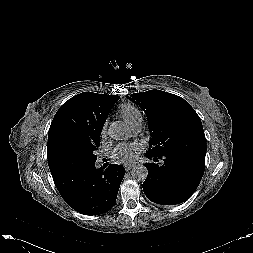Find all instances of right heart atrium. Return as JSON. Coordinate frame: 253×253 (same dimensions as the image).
Instances as JSON below:
<instances>
[{
  "instance_id": "1",
  "label": "right heart atrium",
  "mask_w": 253,
  "mask_h": 253,
  "mask_svg": "<svg viewBox=\"0 0 253 253\" xmlns=\"http://www.w3.org/2000/svg\"><path fill=\"white\" fill-rule=\"evenodd\" d=\"M106 130H107V124L105 123V124L103 125L102 129H101V135H102V136H105Z\"/></svg>"
}]
</instances>
